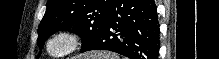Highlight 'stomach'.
Wrapping results in <instances>:
<instances>
[{
  "label": "stomach",
  "instance_id": "0dacf381",
  "mask_svg": "<svg viewBox=\"0 0 219 59\" xmlns=\"http://www.w3.org/2000/svg\"><path fill=\"white\" fill-rule=\"evenodd\" d=\"M88 57H91V58H93V59H96V58L101 59L103 56H102V54H96V53H94V54L88 55ZM107 59H108V58H107Z\"/></svg>",
  "mask_w": 219,
  "mask_h": 59
}]
</instances>
